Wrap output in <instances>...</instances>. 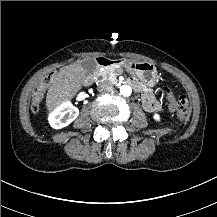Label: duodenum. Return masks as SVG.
<instances>
[{"instance_id":"1","label":"duodenum","mask_w":217,"mask_h":217,"mask_svg":"<svg viewBox=\"0 0 217 217\" xmlns=\"http://www.w3.org/2000/svg\"><path fill=\"white\" fill-rule=\"evenodd\" d=\"M96 64L99 67H105V66L116 67V66H119L121 64V61L118 60V59H110V58H106V57H98V58H96Z\"/></svg>"}]
</instances>
